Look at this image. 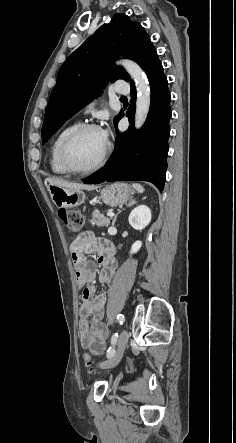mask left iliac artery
I'll list each match as a JSON object with an SVG mask.
<instances>
[{"instance_id": "1", "label": "left iliac artery", "mask_w": 236, "mask_h": 443, "mask_svg": "<svg viewBox=\"0 0 236 443\" xmlns=\"http://www.w3.org/2000/svg\"><path fill=\"white\" fill-rule=\"evenodd\" d=\"M117 321H118V323H119L120 325H122V324L125 322V317H124V315H123V314H118V315H117ZM117 339H118V333L113 334L112 337H111V344H112V347H110V348L108 349V351H107V358H111V357L114 356V354H115L114 346H115V344L117 343Z\"/></svg>"}]
</instances>
